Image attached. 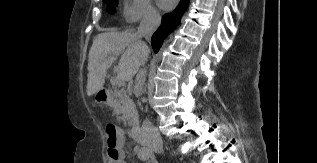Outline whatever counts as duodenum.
I'll list each match as a JSON object with an SVG mask.
<instances>
[{"label": "duodenum", "instance_id": "duodenum-1", "mask_svg": "<svg viewBox=\"0 0 317 163\" xmlns=\"http://www.w3.org/2000/svg\"><path fill=\"white\" fill-rule=\"evenodd\" d=\"M102 93L106 94V91L102 90ZM131 136L141 147L147 148L144 133L139 126L137 125L132 126Z\"/></svg>", "mask_w": 317, "mask_h": 163}]
</instances>
